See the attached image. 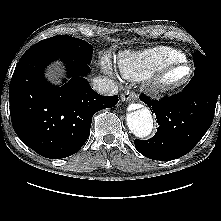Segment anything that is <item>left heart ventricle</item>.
Returning <instances> with one entry per match:
<instances>
[{
  "instance_id": "left-heart-ventricle-1",
  "label": "left heart ventricle",
  "mask_w": 221,
  "mask_h": 221,
  "mask_svg": "<svg viewBox=\"0 0 221 221\" xmlns=\"http://www.w3.org/2000/svg\"><path fill=\"white\" fill-rule=\"evenodd\" d=\"M188 68L183 66V67H180L176 70H174L173 72H171L168 77H167V80L168 82H178V81H181L183 80L187 75H188Z\"/></svg>"
}]
</instances>
